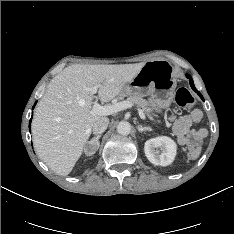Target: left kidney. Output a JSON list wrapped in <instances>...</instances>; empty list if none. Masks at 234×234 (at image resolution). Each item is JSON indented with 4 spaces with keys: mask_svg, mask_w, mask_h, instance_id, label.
I'll use <instances>...</instances> for the list:
<instances>
[{
    "mask_svg": "<svg viewBox=\"0 0 234 234\" xmlns=\"http://www.w3.org/2000/svg\"><path fill=\"white\" fill-rule=\"evenodd\" d=\"M176 143L167 136L151 138L145 142L144 152L154 165H170L176 155Z\"/></svg>",
    "mask_w": 234,
    "mask_h": 234,
    "instance_id": "1",
    "label": "left kidney"
}]
</instances>
